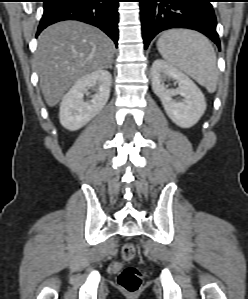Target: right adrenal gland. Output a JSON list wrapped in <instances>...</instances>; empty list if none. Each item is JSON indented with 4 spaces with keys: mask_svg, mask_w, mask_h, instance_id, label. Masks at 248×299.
<instances>
[{
    "mask_svg": "<svg viewBox=\"0 0 248 299\" xmlns=\"http://www.w3.org/2000/svg\"><path fill=\"white\" fill-rule=\"evenodd\" d=\"M107 68H110V69H112V63L107 67Z\"/></svg>",
    "mask_w": 248,
    "mask_h": 299,
    "instance_id": "right-adrenal-gland-1",
    "label": "right adrenal gland"
}]
</instances>
